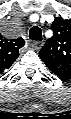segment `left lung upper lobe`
Returning a JSON list of instances; mask_svg holds the SVG:
<instances>
[{
    "instance_id": "left-lung-upper-lobe-1",
    "label": "left lung upper lobe",
    "mask_w": 71,
    "mask_h": 119,
    "mask_svg": "<svg viewBox=\"0 0 71 119\" xmlns=\"http://www.w3.org/2000/svg\"><path fill=\"white\" fill-rule=\"evenodd\" d=\"M51 29L54 34L40 50L39 56L54 74L71 78V19L57 17Z\"/></svg>"
}]
</instances>
